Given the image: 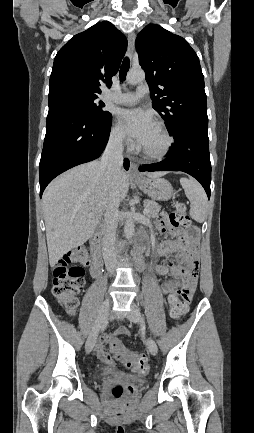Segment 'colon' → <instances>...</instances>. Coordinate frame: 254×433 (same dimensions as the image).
Instances as JSON below:
<instances>
[{
    "instance_id": "1",
    "label": "colon",
    "mask_w": 254,
    "mask_h": 433,
    "mask_svg": "<svg viewBox=\"0 0 254 433\" xmlns=\"http://www.w3.org/2000/svg\"><path fill=\"white\" fill-rule=\"evenodd\" d=\"M161 220L169 223L174 228L188 229V234L196 235V228L191 225L189 214L183 204H178ZM87 248L85 246L68 251L57 263L53 271V294L59 304L68 312L73 313L78 304V295L84 286V268L87 262ZM188 303L180 300L177 295L170 297V315L173 319H180L188 309ZM129 332L126 328H121L119 334L127 335ZM114 346L119 352V358L124 361L127 367L135 373L144 375L149 364L144 354L128 353L120 349L118 342L114 341ZM112 396L116 399L126 394V388L116 385L111 390Z\"/></svg>"
}]
</instances>
